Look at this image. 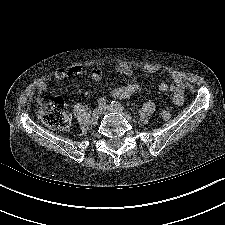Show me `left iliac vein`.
I'll return each instance as SVG.
<instances>
[{"label":"left iliac vein","instance_id":"1","mask_svg":"<svg viewBox=\"0 0 225 225\" xmlns=\"http://www.w3.org/2000/svg\"><path fill=\"white\" fill-rule=\"evenodd\" d=\"M101 111H102V113L117 112V113L122 114L123 116H125L128 119L131 118L130 113L122 108H115L112 106L105 105V106L101 107Z\"/></svg>","mask_w":225,"mask_h":225}]
</instances>
